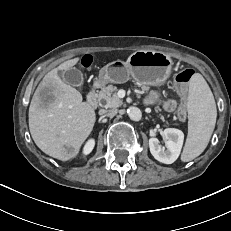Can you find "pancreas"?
<instances>
[{"label": "pancreas", "mask_w": 231, "mask_h": 231, "mask_svg": "<svg viewBox=\"0 0 231 231\" xmlns=\"http://www.w3.org/2000/svg\"><path fill=\"white\" fill-rule=\"evenodd\" d=\"M142 89L143 93L149 92V87L146 85H139ZM117 87L113 85H108L106 87H103L97 94V98L99 103L104 108H117L122 105V100L117 95ZM154 92L151 91V94ZM155 112L158 113V117L164 121V116L159 113L161 112V109L159 107L155 108Z\"/></svg>", "instance_id": "obj_1"}]
</instances>
